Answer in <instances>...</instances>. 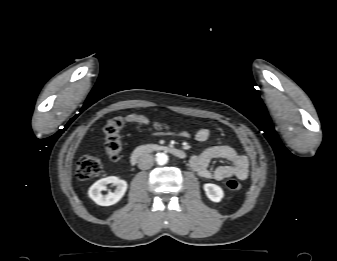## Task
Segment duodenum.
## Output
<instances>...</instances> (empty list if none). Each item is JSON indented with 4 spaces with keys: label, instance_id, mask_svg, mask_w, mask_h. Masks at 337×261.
<instances>
[{
    "label": "duodenum",
    "instance_id": "1",
    "mask_svg": "<svg viewBox=\"0 0 337 261\" xmlns=\"http://www.w3.org/2000/svg\"><path fill=\"white\" fill-rule=\"evenodd\" d=\"M168 153L179 159H184L186 154L180 148L171 145H163V144H145L136 148L130 157V163L132 165L138 163L144 156L151 153Z\"/></svg>",
    "mask_w": 337,
    "mask_h": 261
}]
</instances>
